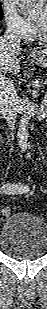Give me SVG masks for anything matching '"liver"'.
I'll return each mask as SVG.
<instances>
[{"instance_id":"liver-1","label":"liver","mask_w":47,"mask_h":309,"mask_svg":"<svg viewBox=\"0 0 47 309\" xmlns=\"http://www.w3.org/2000/svg\"><path fill=\"white\" fill-rule=\"evenodd\" d=\"M20 46H15L3 38H0V78L7 73L17 74L20 71V61L16 57L21 53Z\"/></svg>"}]
</instances>
